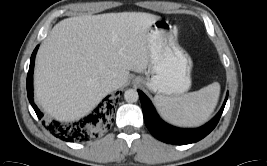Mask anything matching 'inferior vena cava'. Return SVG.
<instances>
[{
  "instance_id": "1",
  "label": "inferior vena cava",
  "mask_w": 267,
  "mask_h": 166,
  "mask_svg": "<svg viewBox=\"0 0 267 166\" xmlns=\"http://www.w3.org/2000/svg\"><path fill=\"white\" fill-rule=\"evenodd\" d=\"M107 91L112 92L119 88V82L117 80H111L104 84Z\"/></svg>"
}]
</instances>
